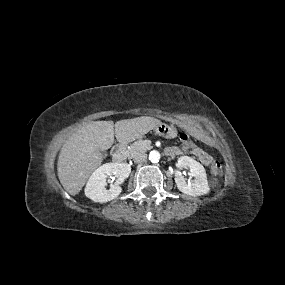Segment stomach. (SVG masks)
<instances>
[{
  "mask_svg": "<svg viewBox=\"0 0 285 285\" xmlns=\"http://www.w3.org/2000/svg\"><path fill=\"white\" fill-rule=\"evenodd\" d=\"M155 132L165 137H173L176 135V128L173 125L161 123L156 127Z\"/></svg>",
  "mask_w": 285,
  "mask_h": 285,
  "instance_id": "0dacf381",
  "label": "stomach"
}]
</instances>
